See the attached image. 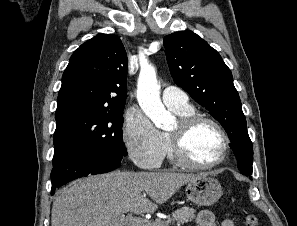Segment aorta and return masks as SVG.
I'll return each instance as SVG.
<instances>
[{
  "label": "aorta",
  "instance_id": "obj_1",
  "mask_svg": "<svg viewBox=\"0 0 297 226\" xmlns=\"http://www.w3.org/2000/svg\"><path fill=\"white\" fill-rule=\"evenodd\" d=\"M159 90L155 68L150 65L142 67L137 83L139 106L157 128L163 129L171 115L161 102Z\"/></svg>",
  "mask_w": 297,
  "mask_h": 226
}]
</instances>
